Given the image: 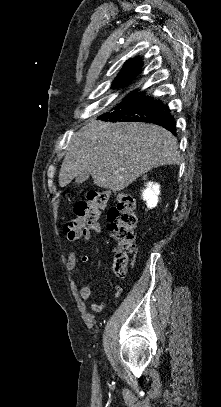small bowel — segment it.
<instances>
[{"instance_id": "small-bowel-1", "label": "small bowel", "mask_w": 221, "mask_h": 407, "mask_svg": "<svg viewBox=\"0 0 221 407\" xmlns=\"http://www.w3.org/2000/svg\"><path fill=\"white\" fill-rule=\"evenodd\" d=\"M102 228L99 225L96 232H101ZM86 240L89 238H85ZM89 256L87 254L77 255L74 252H69L67 256V261L65 264L66 270L72 274L76 266L81 264H86L89 261ZM122 286L117 284L114 288V297L117 298L122 293ZM92 294V286L90 284H85L79 289V297L82 301H86ZM107 305L106 298H102L99 302L93 304L92 310L96 313L101 312Z\"/></svg>"}]
</instances>
